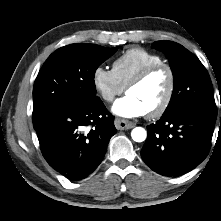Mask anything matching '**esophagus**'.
Instances as JSON below:
<instances>
[{
    "label": "esophagus",
    "mask_w": 221,
    "mask_h": 221,
    "mask_svg": "<svg viewBox=\"0 0 221 221\" xmlns=\"http://www.w3.org/2000/svg\"><path fill=\"white\" fill-rule=\"evenodd\" d=\"M114 124L118 130H128L135 127L134 123L120 118H116Z\"/></svg>",
    "instance_id": "34e87169"
}]
</instances>
